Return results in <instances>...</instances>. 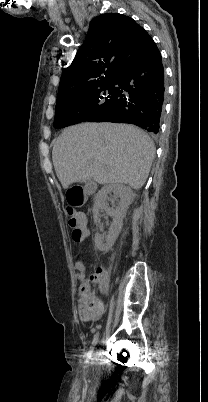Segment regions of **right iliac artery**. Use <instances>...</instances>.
I'll list each match as a JSON object with an SVG mask.
<instances>
[{
	"label": "right iliac artery",
	"mask_w": 208,
	"mask_h": 402,
	"mask_svg": "<svg viewBox=\"0 0 208 402\" xmlns=\"http://www.w3.org/2000/svg\"><path fill=\"white\" fill-rule=\"evenodd\" d=\"M98 339H99V332H96L95 335H94V338H93V341H92V345H91V347H90V350H89V352H88V354H87L88 359H91V358H92L93 352H94V349H95V346H96V344H97V342H98Z\"/></svg>",
	"instance_id": "right-iliac-artery-1"
}]
</instances>
